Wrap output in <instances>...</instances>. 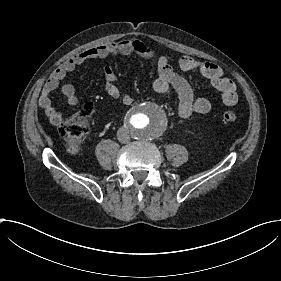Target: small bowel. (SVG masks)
Here are the masks:
<instances>
[{
  "label": "small bowel",
  "mask_w": 281,
  "mask_h": 281,
  "mask_svg": "<svg viewBox=\"0 0 281 281\" xmlns=\"http://www.w3.org/2000/svg\"><path fill=\"white\" fill-rule=\"evenodd\" d=\"M138 54L146 59L154 60L157 57L155 49L136 38H127L117 42H109L98 47L88 48L74 58L65 62L46 82L43 87L40 106L54 127H60L64 123V117L51 102L52 93L58 88L67 74L73 72L78 66L90 60L107 56ZM183 71L201 73L220 90L222 100L227 106H235L238 102L237 86L234 81L223 75L222 69L215 63L200 62L191 56H183L179 61ZM105 80V91L113 99L122 97L124 104H130L133 100L129 93H122L120 79L113 67L106 65L102 71ZM156 92L168 93L172 89L176 92V107L180 117L190 118L193 112L206 113L211 104L204 97H194L190 83L186 78L179 75L173 68L170 60L161 57L157 62V77L152 83ZM67 103L74 107L78 104L75 87L66 84L62 88Z\"/></svg>",
  "instance_id": "1"
}]
</instances>
